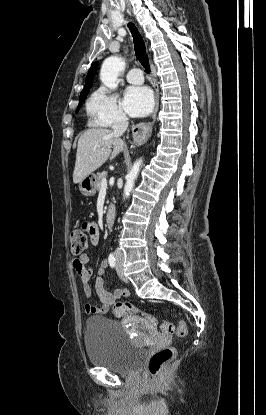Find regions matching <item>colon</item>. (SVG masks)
I'll list each match as a JSON object with an SVG mask.
<instances>
[{"label":"colon","mask_w":266,"mask_h":415,"mask_svg":"<svg viewBox=\"0 0 266 415\" xmlns=\"http://www.w3.org/2000/svg\"><path fill=\"white\" fill-rule=\"evenodd\" d=\"M70 250L74 255L81 254L88 247V237L85 230L74 229L69 236ZM137 307L127 301L117 302L114 305V314L117 317L137 314ZM142 317L150 326L155 327L160 333L165 335L175 334L178 339H184L188 330L184 321H180L177 326L166 320H159L156 317L141 313ZM174 347H165L154 352L149 360L148 368L153 376L161 375L175 357Z\"/></svg>","instance_id":"1"}]
</instances>
